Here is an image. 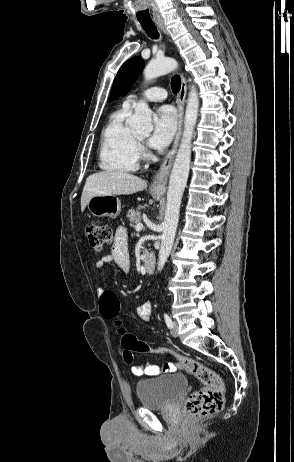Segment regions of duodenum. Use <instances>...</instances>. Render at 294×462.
Here are the masks:
<instances>
[{
  "mask_svg": "<svg viewBox=\"0 0 294 462\" xmlns=\"http://www.w3.org/2000/svg\"><path fill=\"white\" fill-rule=\"evenodd\" d=\"M155 256L153 253L149 252L144 257V267L147 273H152L155 270Z\"/></svg>",
  "mask_w": 294,
  "mask_h": 462,
  "instance_id": "duodenum-1",
  "label": "duodenum"
}]
</instances>
